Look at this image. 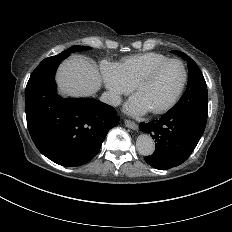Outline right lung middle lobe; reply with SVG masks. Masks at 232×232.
Masks as SVG:
<instances>
[{"label": "right lung middle lobe", "instance_id": "1", "mask_svg": "<svg viewBox=\"0 0 232 232\" xmlns=\"http://www.w3.org/2000/svg\"><path fill=\"white\" fill-rule=\"evenodd\" d=\"M87 49H90V47H88V46H72L60 54L61 55H70L73 52L87 50Z\"/></svg>", "mask_w": 232, "mask_h": 232}]
</instances>
